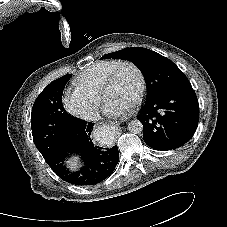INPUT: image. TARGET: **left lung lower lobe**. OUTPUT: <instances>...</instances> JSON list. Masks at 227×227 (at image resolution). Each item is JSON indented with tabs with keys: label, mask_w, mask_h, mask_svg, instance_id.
<instances>
[{
	"label": "left lung lower lobe",
	"mask_w": 227,
	"mask_h": 227,
	"mask_svg": "<svg viewBox=\"0 0 227 227\" xmlns=\"http://www.w3.org/2000/svg\"><path fill=\"white\" fill-rule=\"evenodd\" d=\"M137 119L143 125L144 142L156 150L184 145L194 135L199 105L192 86L174 89L147 100Z\"/></svg>",
	"instance_id": "obj_1"
}]
</instances>
